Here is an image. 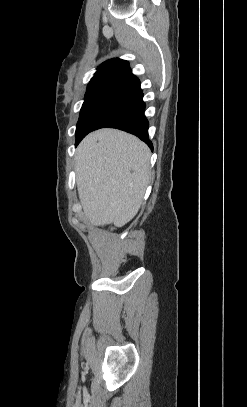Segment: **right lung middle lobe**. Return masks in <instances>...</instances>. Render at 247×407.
<instances>
[{
    "label": "right lung middle lobe",
    "mask_w": 247,
    "mask_h": 407,
    "mask_svg": "<svg viewBox=\"0 0 247 407\" xmlns=\"http://www.w3.org/2000/svg\"><path fill=\"white\" fill-rule=\"evenodd\" d=\"M137 91L112 89L86 97L76 127V144L109 113L133 99Z\"/></svg>",
    "instance_id": "obj_1"
}]
</instances>
